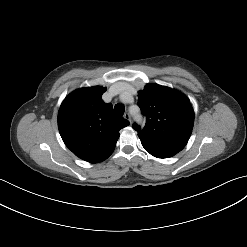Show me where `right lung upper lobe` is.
<instances>
[{
    "instance_id": "obj_1",
    "label": "right lung upper lobe",
    "mask_w": 247,
    "mask_h": 247,
    "mask_svg": "<svg viewBox=\"0 0 247 247\" xmlns=\"http://www.w3.org/2000/svg\"><path fill=\"white\" fill-rule=\"evenodd\" d=\"M105 87L81 88L69 94L58 112L60 135L77 157L90 163L106 160L113 152L119 130L128 126L102 101Z\"/></svg>"
}]
</instances>
